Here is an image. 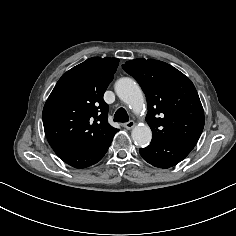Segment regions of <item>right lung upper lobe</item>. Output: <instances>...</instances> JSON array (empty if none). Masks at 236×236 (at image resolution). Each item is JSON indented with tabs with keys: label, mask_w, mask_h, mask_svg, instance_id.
Returning <instances> with one entry per match:
<instances>
[{
	"label": "right lung upper lobe",
	"mask_w": 236,
	"mask_h": 236,
	"mask_svg": "<svg viewBox=\"0 0 236 236\" xmlns=\"http://www.w3.org/2000/svg\"><path fill=\"white\" fill-rule=\"evenodd\" d=\"M119 60L92 57L62 75L43 109V125L52 148H91L118 129L108 123L103 94Z\"/></svg>",
	"instance_id": "obj_1"
}]
</instances>
